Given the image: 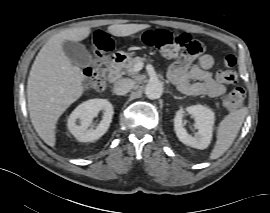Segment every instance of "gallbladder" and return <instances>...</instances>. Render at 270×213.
Masks as SVG:
<instances>
[{
  "instance_id": "bac80fb5",
  "label": "gallbladder",
  "mask_w": 270,
  "mask_h": 213,
  "mask_svg": "<svg viewBox=\"0 0 270 213\" xmlns=\"http://www.w3.org/2000/svg\"><path fill=\"white\" fill-rule=\"evenodd\" d=\"M62 49L72 64L85 68L92 62V55L85 46L79 42L64 41Z\"/></svg>"
}]
</instances>
